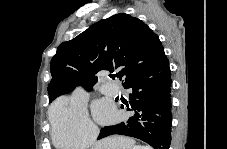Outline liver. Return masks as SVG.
<instances>
[{
    "label": "liver",
    "mask_w": 227,
    "mask_h": 149,
    "mask_svg": "<svg viewBox=\"0 0 227 149\" xmlns=\"http://www.w3.org/2000/svg\"><path fill=\"white\" fill-rule=\"evenodd\" d=\"M135 140L124 136H111L96 142L92 149H132Z\"/></svg>",
    "instance_id": "1"
}]
</instances>
